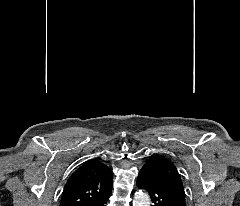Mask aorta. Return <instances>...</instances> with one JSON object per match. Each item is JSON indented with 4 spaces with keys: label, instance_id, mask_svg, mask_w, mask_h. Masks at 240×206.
Here are the masks:
<instances>
[{
    "label": "aorta",
    "instance_id": "1",
    "mask_svg": "<svg viewBox=\"0 0 240 206\" xmlns=\"http://www.w3.org/2000/svg\"><path fill=\"white\" fill-rule=\"evenodd\" d=\"M150 204V197L147 193L141 191L135 193L133 206H150Z\"/></svg>",
    "mask_w": 240,
    "mask_h": 206
}]
</instances>
